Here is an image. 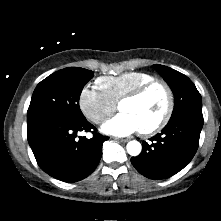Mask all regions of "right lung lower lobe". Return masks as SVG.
<instances>
[{
  "instance_id": "98d812e1",
  "label": "right lung lower lobe",
  "mask_w": 221,
  "mask_h": 221,
  "mask_svg": "<svg viewBox=\"0 0 221 221\" xmlns=\"http://www.w3.org/2000/svg\"><path fill=\"white\" fill-rule=\"evenodd\" d=\"M80 131L97 130L85 117L52 116L27 125L29 145L44 172L70 183L94 171L101 159L102 144L108 137L95 133L91 139L78 138Z\"/></svg>"
}]
</instances>
